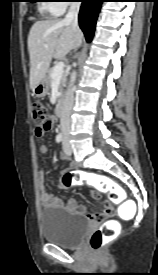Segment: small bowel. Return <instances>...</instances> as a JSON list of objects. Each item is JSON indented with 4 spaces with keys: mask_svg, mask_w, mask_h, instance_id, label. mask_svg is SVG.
Wrapping results in <instances>:
<instances>
[{
    "mask_svg": "<svg viewBox=\"0 0 158 275\" xmlns=\"http://www.w3.org/2000/svg\"><path fill=\"white\" fill-rule=\"evenodd\" d=\"M47 151H48V149H47L46 146L42 145L40 147V152L41 153L46 154ZM61 159L62 160H69V158L67 156H65L64 154L61 155ZM70 168L74 169L75 168V163L71 162ZM65 173H66L65 171H63L61 173L60 185H62V176ZM38 182H39L40 200H41L43 206H45V207L61 206L62 205V201L59 198L55 197L54 195L50 194L48 192L47 188H46V174H45L44 171H41L39 173V175H38ZM66 208L68 210H70V211L79 212V213H85L91 219L94 218V214L88 213L86 206L79 205L75 199L68 200V202L66 203Z\"/></svg>",
    "mask_w": 158,
    "mask_h": 275,
    "instance_id": "c3829d8e",
    "label": "small bowel"
}]
</instances>
